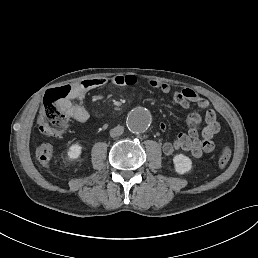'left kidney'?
Returning <instances> with one entry per match:
<instances>
[{
  "label": "left kidney",
  "instance_id": "left-kidney-1",
  "mask_svg": "<svg viewBox=\"0 0 258 258\" xmlns=\"http://www.w3.org/2000/svg\"><path fill=\"white\" fill-rule=\"evenodd\" d=\"M173 162L175 166V171L178 174H184L190 171L192 168L191 159L183 154L175 155L173 158Z\"/></svg>",
  "mask_w": 258,
  "mask_h": 258
}]
</instances>
